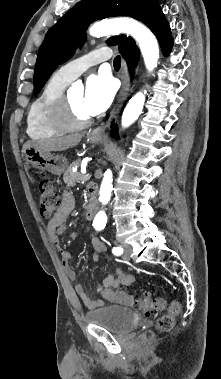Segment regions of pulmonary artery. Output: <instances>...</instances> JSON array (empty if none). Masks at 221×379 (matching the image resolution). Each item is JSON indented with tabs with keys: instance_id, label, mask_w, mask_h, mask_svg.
I'll return each mask as SVG.
<instances>
[{
	"instance_id": "obj_1",
	"label": "pulmonary artery",
	"mask_w": 221,
	"mask_h": 379,
	"mask_svg": "<svg viewBox=\"0 0 221 379\" xmlns=\"http://www.w3.org/2000/svg\"><path fill=\"white\" fill-rule=\"evenodd\" d=\"M111 54V50L108 48L93 50L88 54L61 66L56 71V75L68 82H71L86 71L90 66L108 60L111 57Z\"/></svg>"
}]
</instances>
